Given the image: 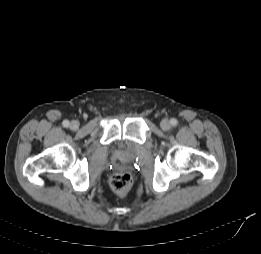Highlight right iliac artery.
Here are the masks:
<instances>
[{
  "label": "right iliac artery",
  "mask_w": 261,
  "mask_h": 254,
  "mask_svg": "<svg viewBox=\"0 0 261 254\" xmlns=\"http://www.w3.org/2000/svg\"><path fill=\"white\" fill-rule=\"evenodd\" d=\"M62 124H63L64 127H68L69 126V121L68 120H64Z\"/></svg>",
  "instance_id": "obj_1"
}]
</instances>
